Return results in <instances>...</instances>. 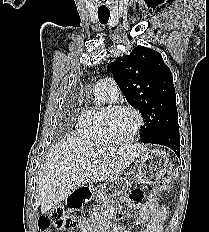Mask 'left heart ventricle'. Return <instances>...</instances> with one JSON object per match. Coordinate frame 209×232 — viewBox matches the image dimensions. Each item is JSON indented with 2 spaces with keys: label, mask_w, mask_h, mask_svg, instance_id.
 Here are the masks:
<instances>
[{
  "label": "left heart ventricle",
  "mask_w": 209,
  "mask_h": 232,
  "mask_svg": "<svg viewBox=\"0 0 209 232\" xmlns=\"http://www.w3.org/2000/svg\"><path fill=\"white\" fill-rule=\"evenodd\" d=\"M137 124L135 115L127 110L115 113L110 121L111 132L116 137L130 135Z\"/></svg>",
  "instance_id": "obj_1"
}]
</instances>
